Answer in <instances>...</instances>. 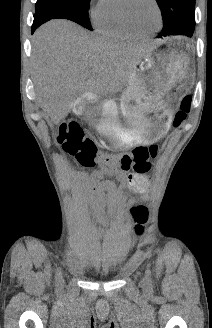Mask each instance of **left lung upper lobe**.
<instances>
[{
	"mask_svg": "<svg viewBox=\"0 0 212 328\" xmlns=\"http://www.w3.org/2000/svg\"><path fill=\"white\" fill-rule=\"evenodd\" d=\"M163 17V29L158 37L192 36L195 28V0H156Z\"/></svg>",
	"mask_w": 212,
	"mask_h": 328,
	"instance_id": "left-lung-upper-lobe-1",
	"label": "left lung upper lobe"
}]
</instances>
